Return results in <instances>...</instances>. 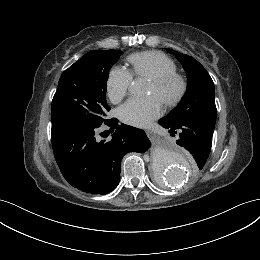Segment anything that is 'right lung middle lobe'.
Instances as JSON below:
<instances>
[{
	"mask_svg": "<svg viewBox=\"0 0 260 260\" xmlns=\"http://www.w3.org/2000/svg\"><path fill=\"white\" fill-rule=\"evenodd\" d=\"M121 54L117 50H94L62 73L52 100V130L69 125H100L107 120L109 70Z\"/></svg>",
	"mask_w": 260,
	"mask_h": 260,
	"instance_id": "obj_1",
	"label": "right lung middle lobe"
}]
</instances>
